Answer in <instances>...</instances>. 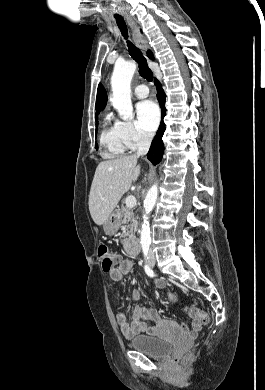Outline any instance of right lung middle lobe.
<instances>
[{
  "mask_svg": "<svg viewBox=\"0 0 265 390\" xmlns=\"http://www.w3.org/2000/svg\"><path fill=\"white\" fill-rule=\"evenodd\" d=\"M97 124H98V117L96 115V127H97ZM96 149H98L97 146H96Z\"/></svg>",
  "mask_w": 265,
  "mask_h": 390,
  "instance_id": "right-lung-middle-lobe-1",
  "label": "right lung middle lobe"
}]
</instances>
